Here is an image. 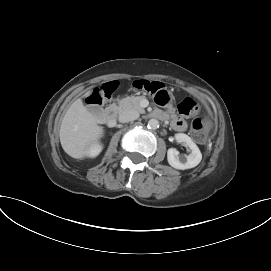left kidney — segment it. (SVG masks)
I'll use <instances>...</instances> for the list:
<instances>
[{
    "label": "left kidney",
    "instance_id": "5707ae66",
    "mask_svg": "<svg viewBox=\"0 0 271 271\" xmlns=\"http://www.w3.org/2000/svg\"><path fill=\"white\" fill-rule=\"evenodd\" d=\"M175 139L177 142L189 147L191 153L184 159L179 157V152L175 148H169L167 151V160L170 166L179 170L196 167L202 160V154L198 146L184 133L175 134Z\"/></svg>",
    "mask_w": 271,
    "mask_h": 271
}]
</instances>
